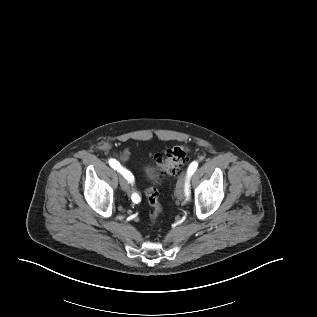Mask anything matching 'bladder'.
Segmentation results:
<instances>
[{
	"label": "bladder",
	"mask_w": 317,
	"mask_h": 317,
	"mask_svg": "<svg viewBox=\"0 0 317 317\" xmlns=\"http://www.w3.org/2000/svg\"><path fill=\"white\" fill-rule=\"evenodd\" d=\"M146 175L151 181H154V182L158 178V174L154 170H151L150 168L146 169Z\"/></svg>",
	"instance_id": "31cf9c89"
}]
</instances>
